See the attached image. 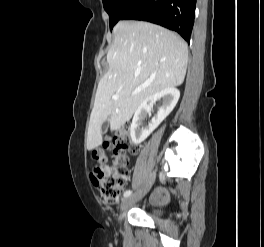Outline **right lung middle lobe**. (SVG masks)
Segmentation results:
<instances>
[{
	"label": "right lung middle lobe",
	"mask_w": 264,
	"mask_h": 247,
	"mask_svg": "<svg viewBox=\"0 0 264 247\" xmlns=\"http://www.w3.org/2000/svg\"><path fill=\"white\" fill-rule=\"evenodd\" d=\"M105 11L109 14L110 29L121 20V17L133 0H102Z\"/></svg>",
	"instance_id": "1"
}]
</instances>
